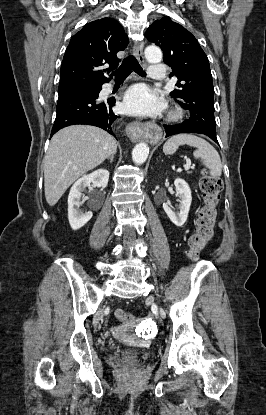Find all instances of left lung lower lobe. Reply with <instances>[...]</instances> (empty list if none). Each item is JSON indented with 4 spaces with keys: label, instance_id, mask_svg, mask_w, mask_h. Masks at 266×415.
<instances>
[{
    "label": "left lung lower lobe",
    "instance_id": "left-lung-lower-lobe-1",
    "mask_svg": "<svg viewBox=\"0 0 266 415\" xmlns=\"http://www.w3.org/2000/svg\"><path fill=\"white\" fill-rule=\"evenodd\" d=\"M163 127L165 128L166 137H169L174 134H179V133H199V134L207 135L219 145L217 141L216 133L201 130L199 128L189 125L186 122L181 123V124H176V125H163Z\"/></svg>",
    "mask_w": 266,
    "mask_h": 415
}]
</instances>
